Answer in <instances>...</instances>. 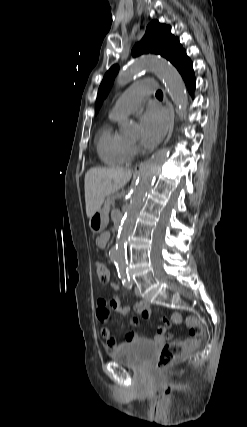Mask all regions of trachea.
Wrapping results in <instances>:
<instances>
[{
	"mask_svg": "<svg viewBox=\"0 0 247 427\" xmlns=\"http://www.w3.org/2000/svg\"><path fill=\"white\" fill-rule=\"evenodd\" d=\"M156 96L157 97H163V93L159 90L156 92Z\"/></svg>",
	"mask_w": 247,
	"mask_h": 427,
	"instance_id": "obj_1",
	"label": "trachea"
}]
</instances>
